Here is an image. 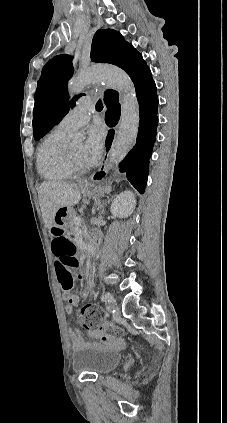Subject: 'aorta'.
Returning a JSON list of instances; mask_svg holds the SVG:
<instances>
[{"label":"aorta","instance_id":"762f6f07","mask_svg":"<svg viewBox=\"0 0 227 423\" xmlns=\"http://www.w3.org/2000/svg\"><path fill=\"white\" fill-rule=\"evenodd\" d=\"M97 82H104L120 94L121 117L110 151V161L113 166H117L136 142L140 120L139 103L130 77L114 66H94L82 72L69 81L68 90L72 94L80 93L87 85ZM82 139L83 136L77 134L73 142H79Z\"/></svg>","mask_w":227,"mask_h":423}]
</instances>
